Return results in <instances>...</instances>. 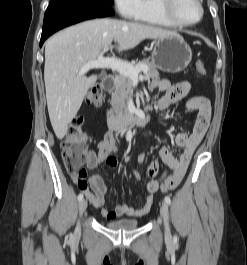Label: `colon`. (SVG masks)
Wrapping results in <instances>:
<instances>
[{"label": "colon", "mask_w": 247, "mask_h": 265, "mask_svg": "<svg viewBox=\"0 0 247 265\" xmlns=\"http://www.w3.org/2000/svg\"><path fill=\"white\" fill-rule=\"evenodd\" d=\"M195 71L200 76L206 75V68L201 61L196 62ZM103 100V90L100 86H94L87 95V102L95 106L100 105ZM87 141L88 134L82 128V119H73L61 143L64 164L69 173L86 176V171L82 166L89 152ZM168 177L167 171H165L161 180L165 181Z\"/></svg>", "instance_id": "1"}]
</instances>
